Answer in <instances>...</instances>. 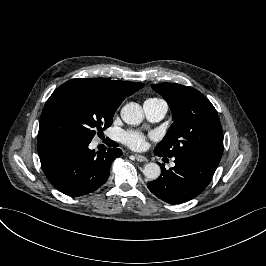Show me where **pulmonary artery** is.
<instances>
[{"label": "pulmonary artery", "instance_id": "pulmonary-artery-1", "mask_svg": "<svg viewBox=\"0 0 266 266\" xmlns=\"http://www.w3.org/2000/svg\"><path fill=\"white\" fill-rule=\"evenodd\" d=\"M143 108L150 121H159L165 116L168 106L163 99L149 98L143 103Z\"/></svg>", "mask_w": 266, "mask_h": 266}]
</instances>
